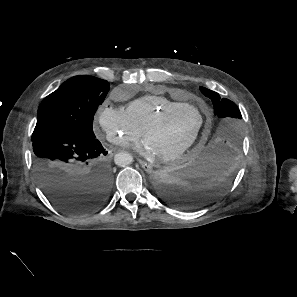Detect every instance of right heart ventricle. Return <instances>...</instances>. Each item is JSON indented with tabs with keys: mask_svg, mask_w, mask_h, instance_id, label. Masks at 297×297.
<instances>
[{
	"mask_svg": "<svg viewBox=\"0 0 297 297\" xmlns=\"http://www.w3.org/2000/svg\"><path fill=\"white\" fill-rule=\"evenodd\" d=\"M183 101L173 100L164 95H145L131 101L126 106V113L131 121L143 131L148 122L166 108L184 104Z\"/></svg>",
	"mask_w": 297,
	"mask_h": 297,
	"instance_id": "right-heart-ventricle-1",
	"label": "right heart ventricle"
}]
</instances>
